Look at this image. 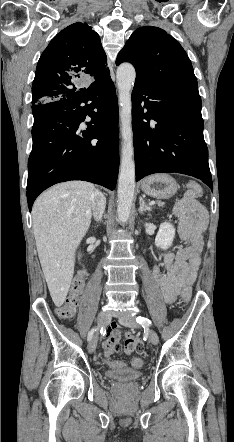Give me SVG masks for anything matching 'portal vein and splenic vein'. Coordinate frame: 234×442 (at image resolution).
I'll use <instances>...</instances> for the list:
<instances>
[{
	"instance_id": "18ae733b",
	"label": "portal vein and splenic vein",
	"mask_w": 234,
	"mask_h": 442,
	"mask_svg": "<svg viewBox=\"0 0 234 442\" xmlns=\"http://www.w3.org/2000/svg\"><path fill=\"white\" fill-rule=\"evenodd\" d=\"M155 204V202H150V205H154Z\"/></svg>"
}]
</instances>
